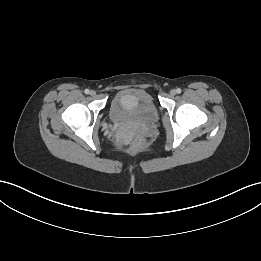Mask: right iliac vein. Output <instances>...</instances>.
Listing matches in <instances>:
<instances>
[{
	"label": "right iliac vein",
	"instance_id": "right-iliac-vein-1",
	"mask_svg": "<svg viewBox=\"0 0 261 261\" xmlns=\"http://www.w3.org/2000/svg\"><path fill=\"white\" fill-rule=\"evenodd\" d=\"M90 95L91 96H95L96 95V92L94 90L90 91Z\"/></svg>",
	"mask_w": 261,
	"mask_h": 261
}]
</instances>
